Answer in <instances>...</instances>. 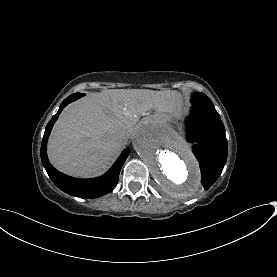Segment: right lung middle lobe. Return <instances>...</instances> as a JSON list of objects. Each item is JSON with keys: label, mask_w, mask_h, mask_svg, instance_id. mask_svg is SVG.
Returning <instances> with one entry per match:
<instances>
[{"label": "right lung middle lobe", "mask_w": 277, "mask_h": 277, "mask_svg": "<svg viewBox=\"0 0 277 277\" xmlns=\"http://www.w3.org/2000/svg\"><path fill=\"white\" fill-rule=\"evenodd\" d=\"M79 94H81V93H79ZM82 96H83V94L80 95V97H82Z\"/></svg>", "instance_id": "1"}]
</instances>
